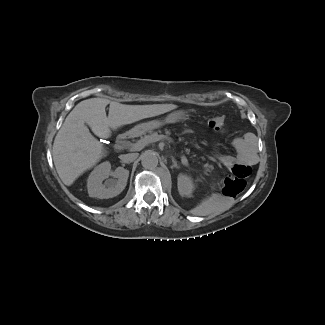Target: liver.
<instances>
[{
    "label": "liver",
    "mask_w": 325,
    "mask_h": 325,
    "mask_svg": "<svg viewBox=\"0 0 325 325\" xmlns=\"http://www.w3.org/2000/svg\"><path fill=\"white\" fill-rule=\"evenodd\" d=\"M176 108L175 104L125 105L105 98L81 101L68 114L54 140L52 155L60 179L65 185H72L107 153L86 124L98 137L109 138L111 130Z\"/></svg>",
    "instance_id": "1"
}]
</instances>
